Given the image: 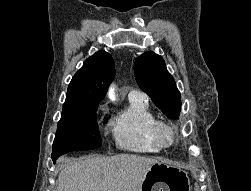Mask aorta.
I'll return each instance as SVG.
<instances>
[{
    "instance_id": "1",
    "label": "aorta",
    "mask_w": 251,
    "mask_h": 191,
    "mask_svg": "<svg viewBox=\"0 0 251 191\" xmlns=\"http://www.w3.org/2000/svg\"><path fill=\"white\" fill-rule=\"evenodd\" d=\"M114 90V86H111V88H109L108 97H110V99H116Z\"/></svg>"
}]
</instances>
